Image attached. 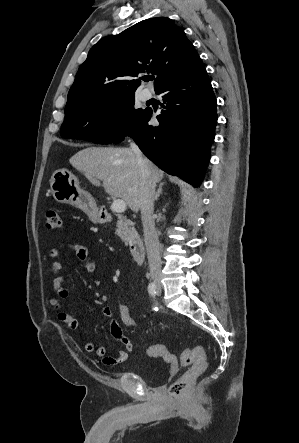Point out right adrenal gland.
I'll return each instance as SVG.
<instances>
[{
  "label": "right adrenal gland",
  "mask_w": 299,
  "mask_h": 443,
  "mask_svg": "<svg viewBox=\"0 0 299 443\" xmlns=\"http://www.w3.org/2000/svg\"><path fill=\"white\" fill-rule=\"evenodd\" d=\"M163 185H164V183H160L159 184V187H158L157 192L155 194V200H158V198L162 194V187H163Z\"/></svg>",
  "instance_id": "obj_1"
}]
</instances>
